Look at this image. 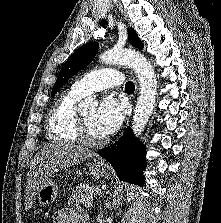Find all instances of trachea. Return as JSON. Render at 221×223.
Segmentation results:
<instances>
[{
    "label": "trachea",
    "instance_id": "1",
    "mask_svg": "<svg viewBox=\"0 0 221 223\" xmlns=\"http://www.w3.org/2000/svg\"><path fill=\"white\" fill-rule=\"evenodd\" d=\"M125 90L127 92H133L135 90V85L132 81H128L125 85Z\"/></svg>",
    "mask_w": 221,
    "mask_h": 223
}]
</instances>
